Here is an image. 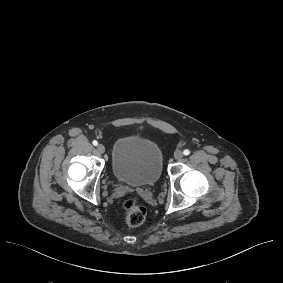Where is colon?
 <instances>
[{"mask_svg": "<svg viewBox=\"0 0 283 283\" xmlns=\"http://www.w3.org/2000/svg\"><path fill=\"white\" fill-rule=\"evenodd\" d=\"M122 213L125 223L130 227L140 226L146 218V208L134 198L123 202Z\"/></svg>", "mask_w": 283, "mask_h": 283, "instance_id": "obj_1", "label": "colon"}]
</instances>
